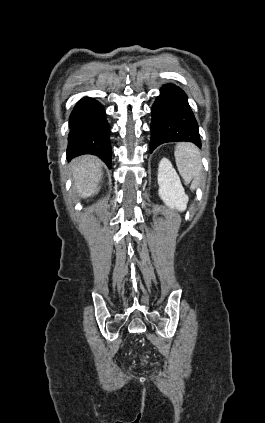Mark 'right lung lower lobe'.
<instances>
[{
	"instance_id": "obj_1",
	"label": "right lung lower lobe",
	"mask_w": 265,
	"mask_h": 423,
	"mask_svg": "<svg viewBox=\"0 0 265 423\" xmlns=\"http://www.w3.org/2000/svg\"><path fill=\"white\" fill-rule=\"evenodd\" d=\"M67 157L93 154L111 168L109 125L104 108L92 98L81 99L69 118Z\"/></svg>"
}]
</instances>
